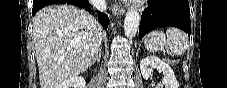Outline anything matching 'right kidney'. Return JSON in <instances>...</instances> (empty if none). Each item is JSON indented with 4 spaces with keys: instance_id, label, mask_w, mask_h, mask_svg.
Masks as SVG:
<instances>
[{
    "instance_id": "1",
    "label": "right kidney",
    "mask_w": 227,
    "mask_h": 88,
    "mask_svg": "<svg viewBox=\"0 0 227 88\" xmlns=\"http://www.w3.org/2000/svg\"><path fill=\"white\" fill-rule=\"evenodd\" d=\"M85 80L82 76H75L60 83L56 88H85Z\"/></svg>"
}]
</instances>
